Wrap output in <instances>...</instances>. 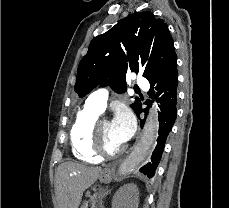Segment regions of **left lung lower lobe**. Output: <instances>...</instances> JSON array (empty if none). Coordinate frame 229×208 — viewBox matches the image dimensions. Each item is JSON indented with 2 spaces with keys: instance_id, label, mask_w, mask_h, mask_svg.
<instances>
[{
  "instance_id": "1",
  "label": "left lung lower lobe",
  "mask_w": 229,
  "mask_h": 208,
  "mask_svg": "<svg viewBox=\"0 0 229 208\" xmlns=\"http://www.w3.org/2000/svg\"><path fill=\"white\" fill-rule=\"evenodd\" d=\"M177 60L173 62L169 71L164 76L162 80L157 83H151L150 95L153 94V87L158 91V93L152 98H157V102L160 103V113H159V136L157 138V145L152 153L151 160L145 166L140 169V172L147 175L148 178H152L155 173V168L159 164L162 152L165 146L166 138L169 132L172 130V126L176 119V103H177V85H178V73H177ZM145 104L149 105L150 101H146ZM140 107L136 110V114L139 117L140 113L143 111L147 115L148 108L142 109ZM144 121H141V126L143 127Z\"/></svg>"
}]
</instances>
